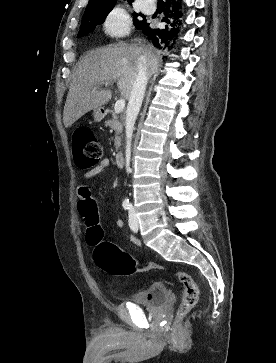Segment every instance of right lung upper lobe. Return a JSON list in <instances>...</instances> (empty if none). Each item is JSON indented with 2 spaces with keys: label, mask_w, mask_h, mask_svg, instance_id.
I'll return each instance as SVG.
<instances>
[{
  "label": "right lung upper lobe",
  "mask_w": 276,
  "mask_h": 363,
  "mask_svg": "<svg viewBox=\"0 0 276 363\" xmlns=\"http://www.w3.org/2000/svg\"><path fill=\"white\" fill-rule=\"evenodd\" d=\"M117 0H90L88 6L103 4V3H112L116 2ZM129 3L133 2V0H127ZM145 22V21H144Z\"/></svg>",
  "instance_id": "right-lung-upper-lobe-1"
}]
</instances>
